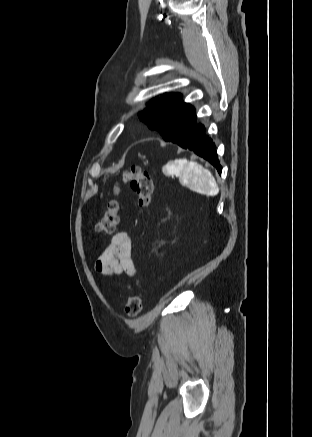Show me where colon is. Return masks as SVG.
Masks as SVG:
<instances>
[{
  "mask_svg": "<svg viewBox=\"0 0 312 437\" xmlns=\"http://www.w3.org/2000/svg\"><path fill=\"white\" fill-rule=\"evenodd\" d=\"M122 180L128 183L137 195L138 207L141 213L148 210L153 199V181L148 171L138 165H133L123 171ZM118 187L113 190V197L105 206L102 216L95 225L98 233L111 235L115 232L120 219V203L116 198ZM142 310V300L137 295H129L126 299L125 311L127 316L134 318Z\"/></svg>",
  "mask_w": 312,
  "mask_h": 437,
  "instance_id": "1",
  "label": "colon"
}]
</instances>
